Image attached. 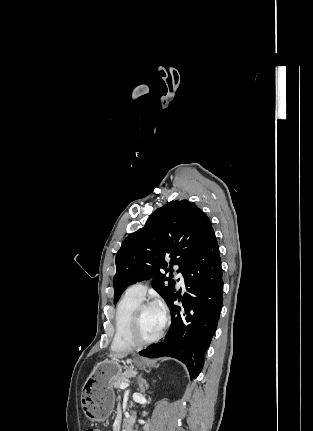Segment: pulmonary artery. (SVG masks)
<instances>
[{
	"label": "pulmonary artery",
	"mask_w": 313,
	"mask_h": 431,
	"mask_svg": "<svg viewBox=\"0 0 313 431\" xmlns=\"http://www.w3.org/2000/svg\"><path fill=\"white\" fill-rule=\"evenodd\" d=\"M177 278H178V284L180 286H184V277L181 271H178ZM146 290H147V285L143 282H140L128 287V289L126 290V293L134 297L143 299L146 294Z\"/></svg>",
	"instance_id": "e3ab8cb5"
}]
</instances>
